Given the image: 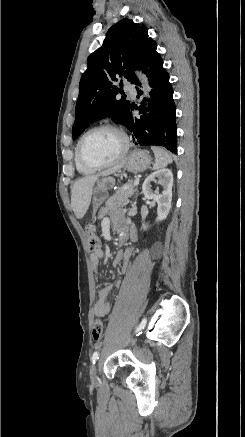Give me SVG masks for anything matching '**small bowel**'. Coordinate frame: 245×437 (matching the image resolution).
<instances>
[{"mask_svg":"<svg viewBox=\"0 0 245 437\" xmlns=\"http://www.w3.org/2000/svg\"><path fill=\"white\" fill-rule=\"evenodd\" d=\"M115 224L118 229L123 234L124 238L129 240L136 239V232L134 227L129 226L122 222L120 218H115ZM134 256V249L132 247L127 248L125 251H120L116 254L113 263L118 264L122 261L121 270L123 273H126L128 270L129 262ZM103 257L102 249L95 250L91 255V263L93 267H97L99 265L100 259ZM119 282L116 281L114 283L103 286L98 291V296L94 304V314L99 317H105L110 312V304L108 301V297L110 292L117 288Z\"/></svg>","mask_w":245,"mask_h":437,"instance_id":"obj_1","label":"small bowel"}]
</instances>
